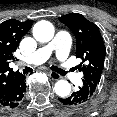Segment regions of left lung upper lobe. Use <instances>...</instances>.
Instances as JSON below:
<instances>
[{
	"label": "left lung upper lobe",
	"instance_id": "obj_1",
	"mask_svg": "<svg viewBox=\"0 0 117 117\" xmlns=\"http://www.w3.org/2000/svg\"><path fill=\"white\" fill-rule=\"evenodd\" d=\"M59 20L75 35L76 56L83 60L78 66L84 74L83 86H86L93 96L100 83L106 54L99 28L78 13L61 16Z\"/></svg>",
	"mask_w": 117,
	"mask_h": 117
}]
</instances>
